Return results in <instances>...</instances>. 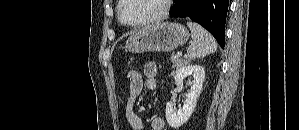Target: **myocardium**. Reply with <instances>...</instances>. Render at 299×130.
Returning <instances> with one entry per match:
<instances>
[{
  "label": "myocardium",
  "instance_id": "obj_1",
  "mask_svg": "<svg viewBox=\"0 0 299 130\" xmlns=\"http://www.w3.org/2000/svg\"><path fill=\"white\" fill-rule=\"evenodd\" d=\"M127 1L128 0H120L119 1L118 10H117L118 20L122 25L132 27V28H139V27L147 26V25L154 24L156 22L161 21L169 13L171 3H172L171 0H162L163 5H162L161 11L159 13H157L156 15H154L153 17L139 21V22H135V23H127L122 18V9Z\"/></svg>",
  "mask_w": 299,
  "mask_h": 130
}]
</instances>
